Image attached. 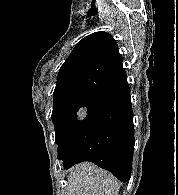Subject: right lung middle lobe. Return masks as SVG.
<instances>
[{
	"label": "right lung middle lobe",
	"mask_w": 178,
	"mask_h": 195,
	"mask_svg": "<svg viewBox=\"0 0 178 195\" xmlns=\"http://www.w3.org/2000/svg\"><path fill=\"white\" fill-rule=\"evenodd\" d=\"M96 96L90 93H71L53 98L52 121L55 127V142L58 146L83 119Z\"/></svg>",
	"instance_id": "dd1d6c3e"
}]
</instances>
